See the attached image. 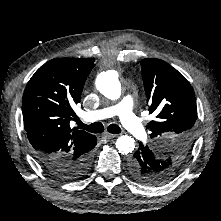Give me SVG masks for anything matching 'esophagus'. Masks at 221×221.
Here are the masks:
<instances>
[{
  "instance_id": "1",
  "label": "esophagus",
  "mask_w": 221,
  "mask_h": 221,
  "mask_svg": "<svg viewBox=\"0 0 221 221\" xmlns=\"http://www.w3.org/2000/svg\"><path fill=\"white\" fill-rule=\"evenodd\" d=\"M117 136H118L117 134L104 133V137L107 139H113L116 138Z\"/></svg>"
}]
</instances>
